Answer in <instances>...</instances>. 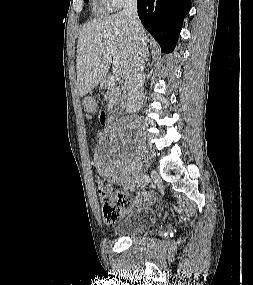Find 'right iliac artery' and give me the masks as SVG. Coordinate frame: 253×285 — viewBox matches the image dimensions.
<instances>
[{
    "label": "right iliac artery",
    "instance_id": "82829eb1",
    "mask_svg": "<svg viewBox=\"0 0 253 285\" xmlns=\"http://www.w3.org/2000/svg\"><path fill=\"white\" fill-rule=\"evenodd\" d=\"M129 189H130V191H134V190H135V185H134V184H131V185L129 186Z\"/></svg>",
    "mask_w": 253,
    "mask_h": 285
}]
</instances>
